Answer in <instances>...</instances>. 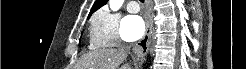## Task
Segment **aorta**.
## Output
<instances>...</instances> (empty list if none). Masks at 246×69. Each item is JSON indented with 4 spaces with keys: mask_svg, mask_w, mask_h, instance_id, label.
<instances>
[{
    "mask_svg": "<svg viewBox=\"0 0 246 69\" xmlns=\"http://www.w3.org/2000/svg\"><path fill=\"white\" fill-rule=\"evenodd\" d=\"M124 0H109L111 10L117 11L122 6Z\"/></svg>",
    "mask_w": 246,
    "mask_h": 69,
    "instance_id": "obj_1",
    "label": "aorta"
}]
</instances>
